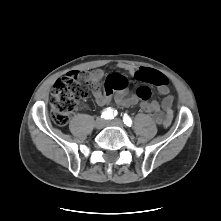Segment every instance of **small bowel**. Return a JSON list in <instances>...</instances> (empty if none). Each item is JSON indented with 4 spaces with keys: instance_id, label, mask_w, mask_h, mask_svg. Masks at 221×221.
<instances>
[{
    "instance_id": "c3829d8e",
    "label": "small bowel",
    "mask_w": 221,
    "mask_h": 221,
    "mask_svg": "<svg viewBox=\"0 0 221 221\" xmlns=\"http://www.w3.org/2000/svg\"><path fill=\"white\" fill-rule=\"evenodd\" d=\"M119 68L127 71L131 75H136V67L128 64H119ZM104 70L98 68L88 72L84 79L91 85L93 90V97L97 105L104 106L111 100L112 93L106 91V86L110 85L115 88L116 93L114 96L115 101L124 107H129L136 105L140 101L141 108L150 113L154 121L158 124L168 126L173 117L172 105H173V96L169 94V89L167 86L158 87V92L164 96L161 106L157 101H147L141 100L137 95L129 94L126 90L127 79L120 74H112L108 77L105 92L102 91V80L104 78Z\"/></svg>"
}]
</instances>
